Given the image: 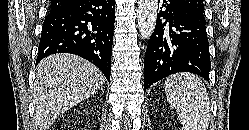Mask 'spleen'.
<instances>
[{
	"instance_id": "1",
	"label": "spleen",
	"mask_w": 249,
	"mask_h": 130,
	"mask_svg": "<svg viewBox=\"0 0 249 130\" xmlns=\"http://www.w3.org/2000/svg\"><path fill=\"white\" fill-rule=\"evenodd\" d=\"M170 106L177 110L183 130H207L210 122V101L202 80L190 73H179L165 81Z\"/></svg>"
}]
</instances>
